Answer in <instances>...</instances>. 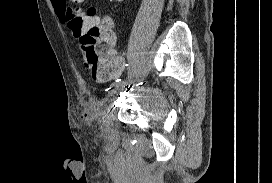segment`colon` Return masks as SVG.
Wrapping results in <instances>:
<instances>
[{"label": "colon", "mask_w": 272, "mask_h": 183, "mask_svg": "<svg viewBox=\"0 0 272 183\" xmlns=\"http://www.w3.org/2000/svg\"><path fill=\"white\" fill-rule=\"evenodd\" d=\"M64 2L65 23L79 39L80 53L86 67L93 76L106 78L115 70L119 60L114 50L116 43L114 25L94 7L81 11L72 5L77 0H64Z\"/></svg>", "instance_id": "obj_1"}]
</instances>
